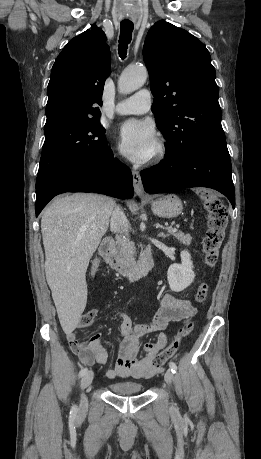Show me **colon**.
Returning <instances> with one entry per match:
<instances>
[{"label":"colon","instance_id":"1","mask_svg":"<svg viewBox=\"0 0 261 459\" xmlns=\"http://www.w3.org/2000/svg\"><path fill=\"white\" fill-rule=\"evenodd\" d=\"M200 197L208 214V230L203 241L204 260L205 264L212 268L217 262L219 249L225 236L228 225V212L223 202L214 192L202 191ZM208 290L209 287L206 283L200 284L195 296L196 301L203 303L207 298ZM96 314L97 312L94 309L86 311L80 318L79 326L81 328L90 326ZM192 329V322L186 323L179 329L173 340L154 357L153 364L156 368L162 367L169 359L175 356L182 340L190 334Z\"/></svg>","mask_w":261,"mask_h":459}]
</instances>
